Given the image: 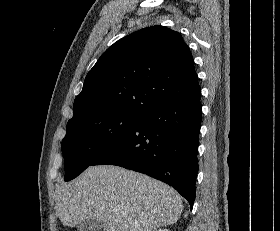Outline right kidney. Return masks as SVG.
Returning a JSON list of instances; mask_svg holds the SVG:
<instances>
[{
    "mask_svg": "<svg viewBox=\"0 0 280 231\" xmlns=\"http://www.w3.org/2000/svg\"><path fill=\"white\" fill-rule=\"evenodd\" d=\"M157 231H170V229H157Z\"/></svg>",
    "mask_w": 280,
    "mask_h": 231,
    "instance_id": "right-kidney-1",
    "label": "right kidney"
}]
</instances>
